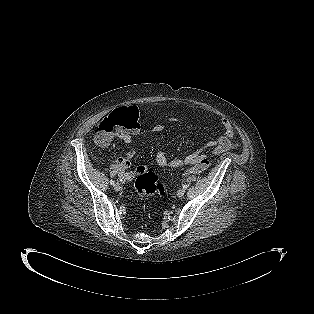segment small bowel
<instances>
[{"mask_svg": "<svg viewBox=\"0 0 314 314\" xmlns=\"http://www.w3.org/2000/svg\"><path fill=\"white\" fill-rule=\"evenodd\" d=\"M174 120L175 119L173 118L167 119V121H174ZM221 125L223 128V133L219 135L215 140L210 141L205 145V148L211 149V153L213 155H219L221 153H224L236 147V144L232 140L234 129L230 121H228L227 119H223L221 121ZM164 129H165V125L162 122H158L152 127V131L155 133L162 132ZM139 132H140V127L130 132L119 133L117 135V138L121 140L122 142L129 143L131 142L133 136L137 135ZM111 142H112V137L107 139L105 142H98L96 140V143L102 148L108 147L111 144ZM202 150L203 148L198 149L184 159L174 158L168 161L164 151L159 149L156 152L155 160H156V163L161 167H164L167 165L174 168L182 167L185 165L192 166L203 156ZM135 155H136V150L130 149L124 154V156H121L115 159L116 164L120 168L119 174L124 181L131 180L135 175H137V169L141 167V166H138L134 171H129V168L131 166V160L135 157Z\"/></svg>", "mask_w": 314, "mask_h": 314, "instance_id": "c3829d8e", "label": "small bowel"}]
</instances>
